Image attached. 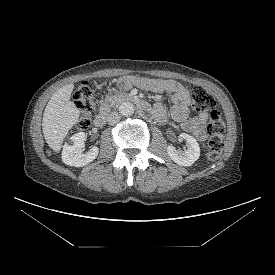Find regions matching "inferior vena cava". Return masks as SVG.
Here are the masks:
<instances>
[{
	"instance_id": "1",
	"label": "inferior vena cava",
	"mask_w": 275,
	"mask_h": 275,
	"mask_svg": "<svg viewBox=\"0 0 275 275\" xmlns=\"http://www.w3.org/2000/svg\"><path fill=\"white\" fill-rule=\"evenodd\" d=\"M120 115L117 113V112H111L109 115H108V124L110 125H114L116 123H118L120 121Z\"/></svg>"
}]
</instances>
